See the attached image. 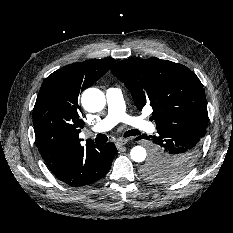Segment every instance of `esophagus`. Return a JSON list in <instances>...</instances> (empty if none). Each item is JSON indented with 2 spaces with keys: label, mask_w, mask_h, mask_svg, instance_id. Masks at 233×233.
Here are the masks:
<instances>
[{
  "label": "esophagus",
  "mask_w": 233,
  "mask_h": 233,
  "mask_svg": "<svg viewBox=\"0 0 233 233\" xmlns=\"http://www.w3.org/2000/svg\"><path fill=\"white\" fill-rule=\"evenodd\" d=\"M128 142V139L126 138H119L117 139L115 145L117 148H120L121 146L125 145Z\"/></svg>",
  "instance_id": "1"
}]
</instances>
